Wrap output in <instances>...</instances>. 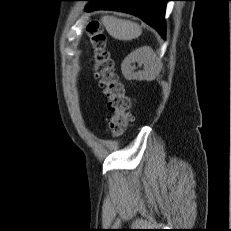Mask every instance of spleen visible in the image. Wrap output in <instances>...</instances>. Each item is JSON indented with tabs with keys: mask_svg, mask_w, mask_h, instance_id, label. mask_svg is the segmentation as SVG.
Listing matches in <instances>:
<instances>
[{
	"mask_svg": "<svg viewBox=\"0 0 231 231\" xmlns=\"http://www.w3.org/2000/svg\"><path fill=\"white\" fill-rule=\"evenodd\" d=\"M101 22L108 34L118 40H132L138 38L142 33L141 27L137 23L129 20L104 16L101 18Z\"/></svg>",
	"mask_w": 231,
	"mask_h": 231,
	"instance_id": "1",
	"label": "spleen"
}]
</instances>
